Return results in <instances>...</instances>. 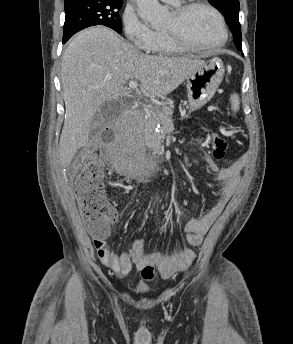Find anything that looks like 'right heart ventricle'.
<instances>
[{
    "label": "right heart ventricle",
    "mask_w": 293,
    "mask_h": 344,
    "mask_svg": "<svg viewBox=\"0 0 293 344\" xmlns=\"http://www.w3.org/2000/svg\"><path fill=\"white\" fill-rule=\"evenodd\" d=\"M148 52L155 56L167 57L180 55L184 50L172 43L164 32H158L157 39Z\"/></svg>",
    "instance_id": "right-heart-ventricle-1"
}]
</instances>
